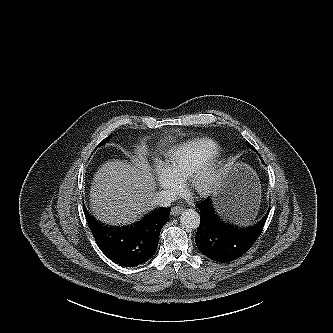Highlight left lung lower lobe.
Listing matches in <instances>:
<instances>
[{"mask_svg":"<svg viewBox=\"0 0 333 333\" xmlns=\"http://www.w3.org/2000/svg\"><path fill=\"white\" fill-rule=\"evenodd\" d=\"M200 225L195 236L198 249L219 263L233 261L247 252L260 236L269 211L252 227L243 228L223 220L214 210L212 199L198 203Z\"/></svg>","mask_w":333,"mask_h":333,"instance_id":"0a47b994","label":"left lung lower lobe"}]
</instances>
